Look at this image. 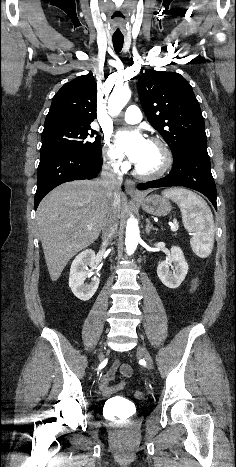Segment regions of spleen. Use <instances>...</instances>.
Instances as JSON below:
<instances>
[{
  "mask_svg": "<svg viewBox=\"0 0 236 467\" xmlns=\"http://www.w3.org/2000/svg\"><path fill=\"white\" fill-rule=\"evenodd\" d=\"M162 194L179 206L184 227L192 233L190 245L193 252L201 258L208 257L214 246L215 226L205 200L185 188H170Z\"/></svg>",
  "mask_w": 236,
  "mask_h": 467,
  "instance_id": "obj_1",
  "label": "spleen"
}]
</instances>
